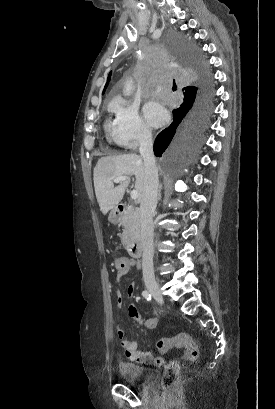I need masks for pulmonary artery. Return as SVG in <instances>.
<instances>
[{"mask_svg": "<svg viewBox=\"0 0 275 409\" xmlns=\"http://www.w3.org/2000/svg\"><path fill=\"white\" fill-rule=\"evenodd\" d=\"M161 90H162V87H161V86L156 87V93H157V94H160V93H161Z\"/></svg>", "mask_w": 275, "mask_h": 409, "instance_id": "e3ab8cb5", "label": "pulmonary artery"}]
</instances>
